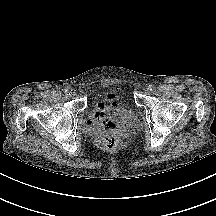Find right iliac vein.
I'll use <instances>...</instances> for the list:
<instances>
[{
    "label": "right iliac vein",
    "instance_id": "right-iliac-vein-1",
    "mask_svg": "<svg viewBox=\"0 0 216 216\" xmlns=\"http://www.w3.org/2000/svg\"><path fill=\"white\" fill-rule=\"evenodd\" d=\"M70 96H71V97H75V96H76V93H75V92H71Z\"/></svg>",
    "mask_w": 216,
    "mask_h": 216
}]
</instances>
